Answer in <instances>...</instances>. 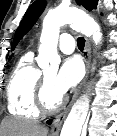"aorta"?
Wrapping results in <instances>:
<instances>
[{
	"label": "aorta",
	"mask_w": 117,
	"mask_h": 136,
	"mask_svg": "<svg viewBox=\"0 0 117 136\" xmlns=\"http://www.w3.org/2000/svg\"><path fill=\"white\" fill-rule=\"evenodd\" d=\"M71 24L76 30L86 36H91L96 44L100 43L102 33L99 25L82 11L71 8H56L47 13L43 20L40 37L38 65L43 69H58L60 57L57 54V44L60 27ZM89 107V97L82 96L73 105L66 118L60 136H81Z\"/></svg>",
	"instance_id": "1"
}]
</instances>
